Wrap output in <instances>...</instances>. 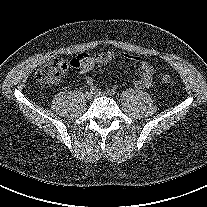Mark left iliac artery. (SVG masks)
Masks as SVG:
<instances>
[{"mask_svg":"<svg viewBox=\"0 0 207 207\" xmlns=\"http://www.w3.org/2000/svg\"><path fill=\"white\" fill-rule=\"evenodd\" d=\"M109 95H115V90L114 89H109L108 91Z\"/></svg>","mask_w":207,"mask_h":207,"instance_id":"1","label":"left iliac artery"}]
</instances>
